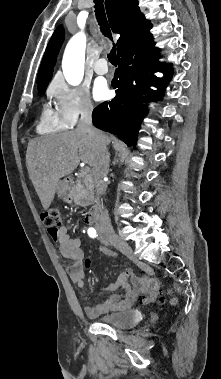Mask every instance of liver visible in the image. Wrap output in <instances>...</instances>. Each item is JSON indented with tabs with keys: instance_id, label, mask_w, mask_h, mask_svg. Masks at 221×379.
Masks as SVG:
<instances>
[{
	"instance_id": "1",
	"label": "liver",
	"mask_w": 221,
	"mask_h": 379,
	"mask_svg": "<svg viewBox=\"0 0 221 379\" xmlns=\"http://www.w3.org/2000/svg\"><path fill=\"white\" fill-rule=\"evenodd\" d=\"M109 143V136L103 133L99 139L77 129L29 142L27 170L44 210L50 207L60 179L70 175L80 161L94 167L100 145Z\"/></svg>"
}]
</instances>
